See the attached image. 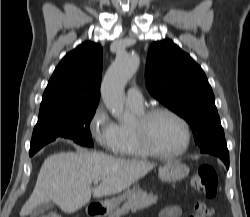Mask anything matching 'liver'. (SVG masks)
<instances>
[{
    "label": "liver",
    "instance_id": "6515ba94",
    "mask_svg": "<svg viewBox=\"0 0 250 217\" xmlns=\"http://www.w3.org/2000/svg\"><path fill=\"white\" fill-rule=\"evenodd\" d=\"M154 164L114 158L102 153L61 152L49 156L41 166L33 193L20 215L52 201L66 213H74L91 199L110 196L129 188L154 168ZM95 179L99 186L92 187Z\"/></svg>",
    "mask_w": 250,
    "mask_h": 217
}]
</instances>
